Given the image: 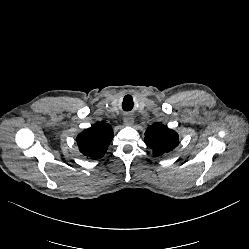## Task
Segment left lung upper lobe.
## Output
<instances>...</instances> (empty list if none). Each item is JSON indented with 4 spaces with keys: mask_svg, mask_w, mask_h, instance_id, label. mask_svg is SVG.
<instances>
[{
    "mask_svg": "<svg viewBox=\"0 0 249 249\" xmlns=\"http://www.w3.org/2000/svg\"><path fill=\"white\" fill-rule=\"evenodd\" d=\"M145 143L155 156L173 150L178 144V134L160 122L149 126L145 132Z\"/></svg>",
    "mask_w": 249,
    "mask_h": 249,
    "instance_id": "1",
    "label": "left lung upper lobe"
}]
</instances>
